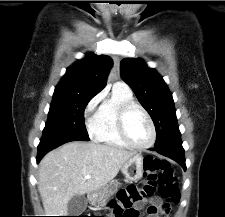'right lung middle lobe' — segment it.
Masks as SVG:
<instances>
[{"label": "right lung middle lobe", "instance_id": "right-lung-middle-lobe-1", "mask_svg": "<svg viewBox=\"0 0 225 217\" xmlns=\"http://www.w3.org/2000/svg\"><path fill=\"white\" fill-rule=\"evenodd\" d=\"M94 96L53 95L42 138L61 137L88 141L84 110Z\"/></svg>", "mask_w": 225, "mask_h": 217}]
</instances>
